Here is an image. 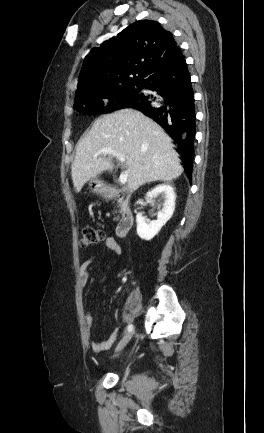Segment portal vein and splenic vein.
<instances>
[{"instance_id": "1", "label": "portal vein and splenic vein", "mask_w": 264, "mask_h": 433, "mask_svg": "<svg viewBox=\"0 0 264 433\" xmlns=\"http://www.w3.org/2000/svg\"><path fill=\"white\" fill-rule=\"evenodd\" d=\"M104 154V155H111L113 157H115L121 164H123L125 162V155L110 149V148H103L100 149L99 151H97V153L94 155V157L96 158L97 156ZM128 179V173L127 171L122 172L120 177H119V183L124 185L127 182Z\"/></svg>"}]
</instances>
